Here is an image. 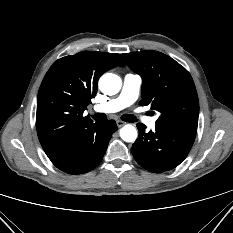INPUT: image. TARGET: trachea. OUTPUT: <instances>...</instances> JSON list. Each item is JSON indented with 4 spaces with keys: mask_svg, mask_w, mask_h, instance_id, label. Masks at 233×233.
<instances>
[{
    "mask_svg": "<svg viewBox=\"0 0 233 233\" xmlns=\"http://www.w3.org/2000/svg\"><path fill=\"white\" fill-rule=\"evenodd\" d=\"M93 119L97 122H105L107 121V116L103 113H97L93 115ZM121 119L126 122H135L136 118L131 114L122 115Z\"/></svg>",
    "mask_w": 233,
    "mask_h": 233,
    "instance_id": "3493384b",
    "label": "trachea"
}]
</instances>
